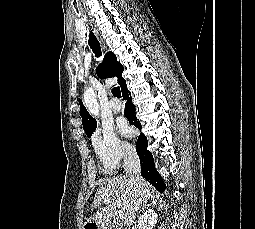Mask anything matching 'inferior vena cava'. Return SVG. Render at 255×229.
Returning <instances> with one entry per match:
<instances>
[{
	"mask_svg": "<svg viewBox=\"0 0 255 229\" xmlns=\"http://www.w3.org/2000/svg\"><path fill=\"white\" fill-rule=\"evenodd\" d=\"M124 171L128 176H135L140 173V160L133 147H128L124 151Z\"/></svg>",
	"mask_w": 255,
	"mask_h": 229,
	"instance_id": "inferior-vena-cava-1",
	"label": "inferior vena cava"
}]
</instances>
